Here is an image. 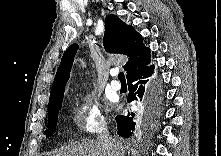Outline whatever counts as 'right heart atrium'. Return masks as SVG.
Returning a JSON list of instances; mask_svg holds the SVG:
<instances>
[{"label": "right heart atrium", "instance_id": "d8ad5b80", "mask_svg": "<svg viewBox=\"0 0 221 156\" xmlns=\"http://www.w3.org/2000/svg\"><path fill=\"white\" fill-rule=\"evenodd\" d=\"M75 129L82 134L101 133L106 128V117L99 99L87 94L76 104L72 111Z\"/></svg>", "mask_w": 221, "mask_h": 156}]
</instances>
